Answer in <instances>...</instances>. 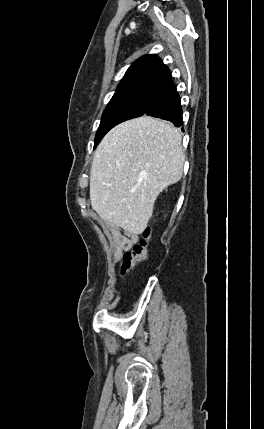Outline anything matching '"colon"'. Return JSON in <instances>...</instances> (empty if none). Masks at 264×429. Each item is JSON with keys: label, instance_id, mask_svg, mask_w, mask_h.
<instances>
[{"label": "colon", "instance_id": "obj_1", "mask_svg": "<svg viewBox=\"0 0 264 429\" xmlns=\"http://www.w3.org/2000/svg\"><path fill=\"white\" fill-rule=\"evenodd\" d=\"M151 236V229L147 227L143 232V239L133 247L132 251L126 252L121 265V274H128L135 265L144 260L147 255V248Z\"/></svg>", "mask_w": 264, "mask_h": 429}]
</instances>
